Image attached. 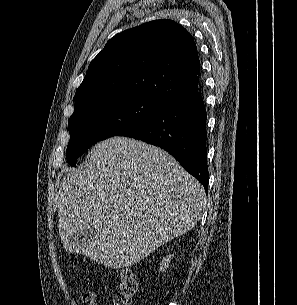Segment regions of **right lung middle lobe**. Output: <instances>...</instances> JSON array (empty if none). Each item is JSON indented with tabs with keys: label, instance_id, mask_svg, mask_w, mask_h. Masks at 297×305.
<instances>
[{
	"label": "right lung middle lobe",
	"instance_id": "1",
	"mask_svg": "<svg viewBox=\"0 0 297 305\" xmlns=\"http://www.w3.org/2000/svg\"><path fill=\"white\" fill-rule=\"evenodd\" d=\"M169 102L151 94L129 93L106 97L74 110L68 122L69 164L76 166L77 158L93 144L144 122Z\"/></svg>",
	"mask_w": 297,
	"mask_h": 305
}]
</instances>
